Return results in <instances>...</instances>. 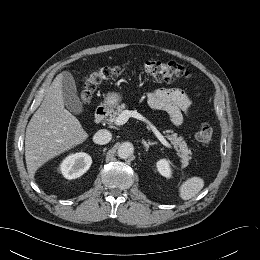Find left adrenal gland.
I'll return each mask as SVG.
<instances>
[{
  "mask_svg": "<svg viewBox=\"0 0 260 260\" xmlns=\"http://www.w3.org/2000/svg\"><path fill=\"white\" fill-rule=\"evenodd\" d=\"M142 144L145 146L146 151H148L150 146H153L157 144L156 142H151V141H145L144 139L142 140Z\"/></svg>",
  "mask_w": 260,
  "mask_h": 260,
  "instance_id": "1",
  "label": "left adrenal gland"
}]
</instances>
